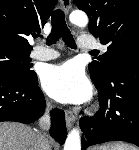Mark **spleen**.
Wrapping results in <instances>:
<instances>
[{
	"label": "spleen",
	"mask_w": 139,
	"mask_h": 150,
	"mask_svg": "<svg viewBox=\"0 0 139 150\" xmlns=\"http://www.w3.org/2000/svg\"><path fill=\"white\" fill-rule=\"evenodd\" d=\"M110 150H136V148L124 143L117 142L110 145Z\"/></svg>",
	"instance_id": "obj_1"
}]
</instances>
